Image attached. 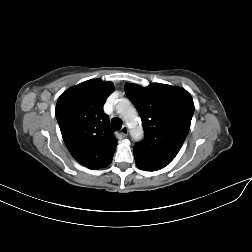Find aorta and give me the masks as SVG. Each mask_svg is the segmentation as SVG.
Segmentation results:
<instances>
[{"instance_id": "aorta-1", "label": "aorta", "mask_w": 252, "mask_h": 252, "mask_svg": "<svg viewBox=\"0 0 252 252\" xmlns=\"http://www.w3.org/2000/svg\"><path fill=\"white\" fill-rule=\"evenodd\" d=\"M118 111L128 123L132 138L135 141L140 140L143 136V130L139 124L136 110L127 99L120 100Z\"/></svg>"}]
</instances>
